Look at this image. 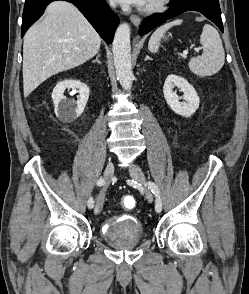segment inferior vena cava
Wrapping results in <instances>:
<instances>
[{"label":"inferior vena cava","instance_id":"obj_1","mask_svg":"<svg viewBox=\"0 0 249 294\" xmlns=\"http://www.w3.org/2000/svg\"><path fill=\"white\" fill-rule=\"evenodd\" d=\"M110 4H111V6H115V4H114V2H113V1H111V2H110Z\"/></svg>","mask_w":249,"mask_h":294}]
</instances>
